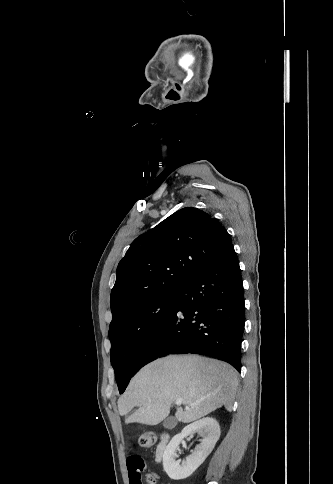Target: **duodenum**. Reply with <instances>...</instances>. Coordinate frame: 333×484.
Returning <instances> with one entry per match:
<instances>
[{
	"label": "duodenum",
	"instance_id": "410a0bca",
	"mask_svg": "<svg viewBox=\"0 0 333 484\" xmlns=\"http://www.w3.org/2000/svg\"><path fill=\"white\" fill-rule=\"evenodd\" d=\"M167 440H168V436L163 435L162 436V442L160 443V445L158 446V449H157L158 455L161 456L163 454V451H164V448H165V443H166Z\"/></svg>",
	"mask_w": 333,
	"mask_h": 484
}]
</instances>
